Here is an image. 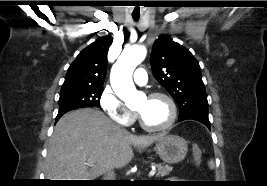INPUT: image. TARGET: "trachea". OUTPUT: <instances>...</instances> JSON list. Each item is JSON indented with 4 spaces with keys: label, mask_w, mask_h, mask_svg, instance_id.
<instances>
[{
    "label": "trachea",
    "mask_w": 267,
    "mask_h": 186,
    "mask_svg": "<svg viewBox=\"0 0 267 186\" xmlns=\"http://www.w3.org/2000/svg\"><path fill=\"white\" fill-rule=\"evenodd\" d=\"M133 19H134L135 21H137V20L139 19V17H138V16H134Z\"/></svg>",
    "instance_id": "trachea-1"
}]
</instances>
